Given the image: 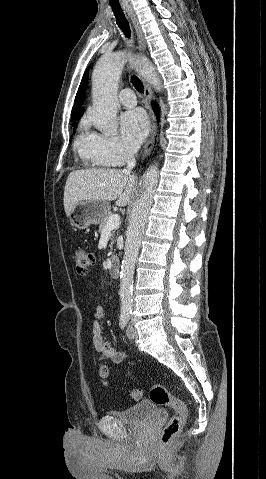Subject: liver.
Here are the masks:
<instances>
[{
    "instance_id": "6515ba94",
    "label": "liver",
    "mask_w": 266,
    "mask_h": 479,
    "mask_svg": "<svg viewBox=\"0 0 266 479\" xmlns=\"http://www.w3.org/2000/svg\"><path fill=\"white\" fill-rule=\"evenodd\" d=\"M136 176L119 169H86L72 171L64 188V210L69 217L75 205L83 200L113 201L126 206L134 195Z\"/></svg>"
}]
</instances>
